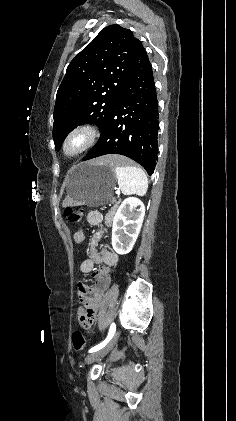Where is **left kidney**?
I'll return each mask as SVG.
<instances>
[{
  "mask_svg": "<svg viewBox=\"0 0 236 421\" xmlns=\"http://www.w3.org/2000/svg\"><path fill=\"white\" fill-rule=\"evenodd\" d=\"M144 215L145 206L142 200L135 196L125 198L120 204L112 227V247L118 255H127L132 251L140 233Z\"/></svg>",
  "mask_w": 236,
  "mask_h": 421,
  "instance_id": "left-kidney-1",
  "label": "left kidney"
}]
</instances>
